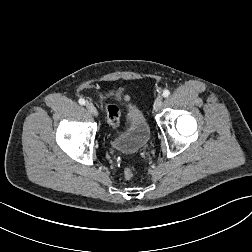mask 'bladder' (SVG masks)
I'll return each instance as SVG.
<instances>
[{
	"label": "bladder",
	"instance_id": "obj_1",
	"mask_svg": "<svg viewBox=\"0 0 252 252\" xmlns=\"http://www.w3.org/2000/svg\"><path fill=\"white\" fill-rule=\"evenodd\" d=\"M151 127L144 113L136 106H129L125 111V130L109 141V145L117 152L136 153L150 141Z\"/></svg>",
	"mask_w": 252,
	"mask_h": 252
}]
</instances>
